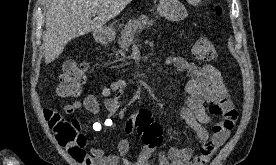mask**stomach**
I'll use <instances>...</instances> for the list:
<instances>
[{
  "label": "stomach",
  "mask_w": 276,
  "mask_h": 165,
  "mask_svg": "<svg viewBox=\"0 0 276 165\" xmlns=\"http://www.w3.org/2000/svg\"><path fill=\"white\" fill-rule=\"evenodd\" d=\"M157 13L170 21H180L187 16V10L179 0H160ZM93 34L98 41H109L114 38L115 30L112 27H101Z\"/></svg>",
  "instance_id": "1"
}]
</instances>
